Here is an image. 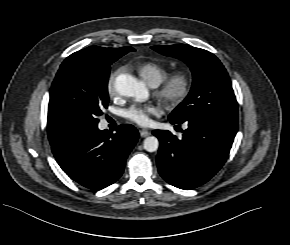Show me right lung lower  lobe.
I'll return each mask as SVG.
<instances>
[{
  "label": "right lung lower lobe",
  "instance_id": "1",
  "mask_svg": "<svg viewBox=\"0 0 290 245\" xmlns=\"http://www.w3.org/2000/svg\"><path fill=\"white\" fill-rule=\"evenodd\" d=\"M138 137L137 129L129 124L118 126L116 133L91 126L72 130L50 144L58 164L71 179L100 190L120 178Z\"/></svg>",
  "mask_w": 290,
  "mask_h": 245
}]
</instances>
